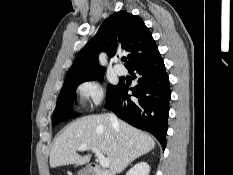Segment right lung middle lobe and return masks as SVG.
Segmentation results:
<instances>
[{"mask_svg": "<svg viewBox=\"0 0 233 175\" xmlns=\"http://www.w3.org/2000/svg\"><path fill=\"white\" fill-rule=\"evenodd\" d=\"M102 75L103 73L93 75L90 77H86V78L73 79V80H68L64 82V86L58 96L56 108L53 113V117H52L53 126H55L61 121H65L69 118H73L77 116V114H75L73 110L70 108L71 103H72V97L74 95L76 87L85 81L101 79ZM118 87H119V84L118 85L108 84V87H107L108 100L117 91Z\"/></svg>", "mask_w": 233, "mask_h": 175, "instance_id": "dd1d6c3e", "label": "right lung middle lobe"}]
</instances>
